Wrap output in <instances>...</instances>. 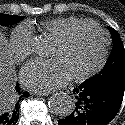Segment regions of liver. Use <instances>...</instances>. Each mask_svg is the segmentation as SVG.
Here are the masks:
<instances>
[{
	"label": "liver",
	"instance_id": "1",
	"mask_svg": "<svg viewBox=\"0 0 125 125\" xmlns=\"http://www.w3.org/2000/svg\"><path fill=\"white\" fill-rule=\"evenodd\" d=\"M16 83L15 68L8 42L0 32V112L13 100Z\"/></svg>",
	"mask_w": 125,
	"mask_h": 125
}]
</instances>
